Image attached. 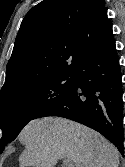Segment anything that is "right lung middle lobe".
<instances>
[{"instance_id":"1","label":"right lung middle lobe","mask_w":125,"mask_h":167,"mask_svg":"<svg viewBox=\"0 0 125 167\" xmlns=\"http://www.w3.org/2000/svg\"><path fill=\"white\" fill-rule=\"evenodd\" d=\"M74 81V72H66L1 98L0 128L3 135L0 144L6 145L14 140L44 105L59 99Z\"/></svg>"}]
</instances>
